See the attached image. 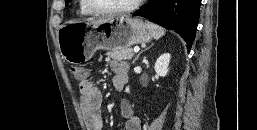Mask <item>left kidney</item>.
I'll return each instance as SVG.
<instances>
[{"instance_id":"5707ae66","label":"left kidney","mask_w":257,"mask_h":130,"mask_svg":"<svg viewBox=\"0 0 257 130\" xmlns=\"http://www.w3.org/2000/svg\"><path fill=\"white\" fill-rule=\"evenodd\" d=\"M170 58L169 53H164L156 60L154 69L158 76L165 77L167 75Z\"/></svg>"}]
</instances>
